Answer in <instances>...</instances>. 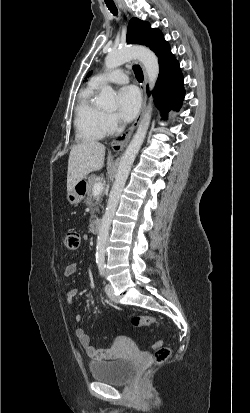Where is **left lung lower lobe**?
I'll return each instance as SVG.
<instances>
[{
	"label": "left lung lower lobe",
	"mask_w": 250,
	"mask_h": 413,
	"mask_svg": "<svg viewBox=\"0 0 250 413\" xmlns=\"http://www.w3.org/2000/svg\"><path fill=\"white\" fill-rule=\"evenodd\" d=\"M159 58V75L153 91V97L162 115L167 116L171 109L179 110L185 96L183 75L178 61L171 53L169 45L160 51H154Z\"/></svg>",
	"instance_id": "obj_1"
}]
</instances>
